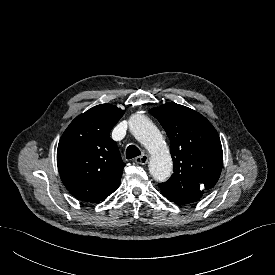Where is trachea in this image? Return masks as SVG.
Listing matches in <instances>:
<instances>
[{"mask_svg": "<svg viewBox=\"0 0 275 275\" xmlns=\"http://www.w3.org/2000/svg\"><path fill=\"white\" fill-rule=\"evenodd\" d=\"M139 155H141V151L139 150L138 147H136L135 145H130L127 147V149H126V158L127 159H132Z\"/></svg>", "mask_w": 275, "mask_h": 275, "instance_id": "obj_1", "label": "trachea"}]
</instances>
